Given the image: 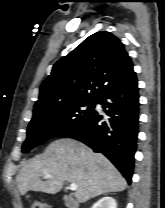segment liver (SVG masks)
<instances>
[{"mask_svg": "<svg viewBox=\"0 0 165 208\" xmlns=\"http://www.w3.org/2000/svg\"><path fill=\"white\" fill-rule=\"evenodd\" d=\"M46 174L51 175L47 178ZM41 177L46 179L41 180ZM21 195L29 190L58 193L65 182L75 183L78 203L110 193L123 191L127 182L116 167L102 154L72 139H59L45 152L27 161L16 177Z\"/></svg>", "mask_w": 165, "mask_h": 208, "instance_id": "obj_1", "label": "liver"}]
</instances>
